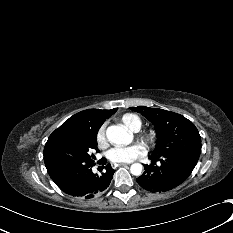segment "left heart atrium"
<instances>
[{
	"mask_svg": "<svg viewBox=\"0 0 233 233\" xmlns=\"http://www.w3.org/2000/svg\"><path fill=\"white\" fill-rule=\"evenodd\" d=\"M144 152V147L139 144L115 147L108 152V158L115 163H129L137 159Z\"/></svg>",
	"mask_w": 233,
	"mask_h": 233,
	"instance_id": "1",
	"label": "left heart atrium"
}]
</instances>
